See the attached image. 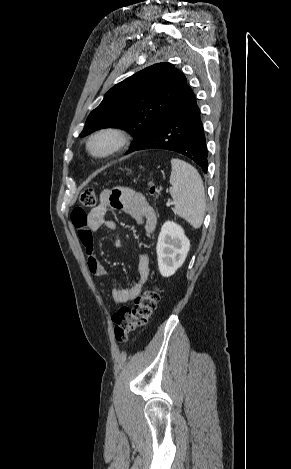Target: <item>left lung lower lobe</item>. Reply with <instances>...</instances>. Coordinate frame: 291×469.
Returning a JSON list of instances; mask_svg holds the SVG:
<instances>
[{"instance_id": "obj_1", "label": "left lung lower lobe", "mask_w": 291, "mask_h": 469, "mask_svg": "<svg viewBox=\"0 0 291 469\" xmlns=\"http://www.w3.org/2000/svg\"><path fill=\"white\" fill-rule=\"evenodd\" d=\"M150 148H163L183 154L207 172L206 137L200 109L191 88H188L146 139L128 153Z\"/></svg>"}]
</instances>
